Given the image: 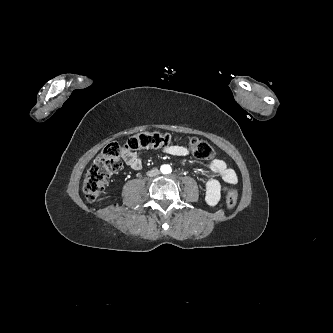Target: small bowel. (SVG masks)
Masks as SVG:
<instances>
[{
    "label": "small bowel",
    "instance_id": "1",
    "mask_svg": "<svg viewBox=\"0 0 333 333\" xmlns=\"http://www.w3.org/2000/svg\"><path fill=\"white\" fill-rule=\"evenodd\" d=\"M164 152L171 156L185 157L189 151L184 146L169 145L164 148ZM123 160L125 164L133 169L140 170L143 162L140 156L133 151H123ZM209 171L219 176L226 184L233 185L238 181L236 172L229 168L222 159H213L208 166ZM205 201L209 206H216L221 198V195L226 191V187L222 186L217 179H209L205 185Z\"/></svg>",
    "mask_w": 333,
    "mask_h": 333
}]
</instances>
